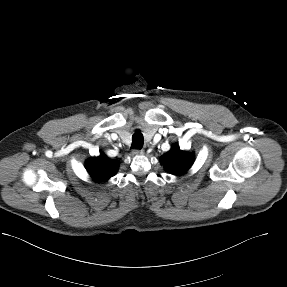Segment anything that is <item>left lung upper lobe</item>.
Here are the masks:
<instances>
[{
	"mask_svg": "<svg viewBox=\"0 0 287 287\" xmlns=\"http://www.w3.org/2000/svg\"><path fill=\"white\" fill-rule=\"evenodd\" d=\"M164 169L173 175L184 174L194 162V154L180 150L177 144L160 158Z\"/></svg>",
	"mask_w": 287,
	"mask_h": 287,
	"instance_id": "obj_1",
	"label": "left lung upper lobe"
}]
</instances>
